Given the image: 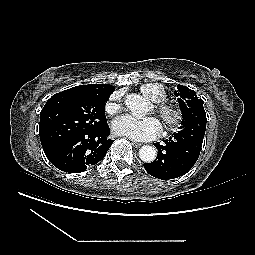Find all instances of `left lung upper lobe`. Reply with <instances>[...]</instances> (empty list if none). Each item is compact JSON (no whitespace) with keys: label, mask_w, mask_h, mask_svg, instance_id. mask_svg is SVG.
Segmentation results:
<instances>
[{"label":"left lung upper lobe","mask_w":255,"mask_h":255,"mask_svg":"<svg viewBox=\"0 0 255 255\" xmlns=\"http://www.w3.org/2000/svg\"><path fill=\"white\" fill-rule=\"evenodd\" d=\"M178 96V102L183 114L180 129L190 127L191 125L206 122V113L203 107L204 101L197 97L194 90H191L183 85H178L177 90L174 92Z\"/></svg>","instance_id":"left-lung-upper-lobe-1"}]
</instances>
